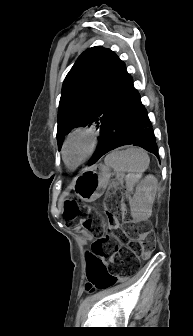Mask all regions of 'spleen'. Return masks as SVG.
<instances>
[{
	"label": "spleen",
	"instance_id": "obj_1",
	"mask_svg": "<svg viewBox=\"0 0 193 336\" xmlns=\"http://www.w3.org/2000/svg\"><path fill=\"white\" fill-rule=\"evenodd\" d=\"M150 158L142 148L129 147L125 150H114L105 157V164L117 173L128 172L125 176L128 192L133 190L143 172L149 166Z\"/></svg>",
	"mask_w": 193,
	"mask_h": 336
}]
</instances>
